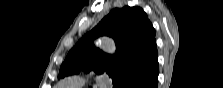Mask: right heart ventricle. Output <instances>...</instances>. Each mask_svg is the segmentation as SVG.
Listing matches in <instances>:
<instances>
[{"label":"right heart ventricle","mask_w":223,"mask_h":88,"mask_svg":"<svg viewBox=\"0 0 223 88\" xmlns=\"http://www.w3.org/2000/svg\"><path fill=\"white\" fill-rule=\"evenodd\" d=\"M54 88H63V87H61L60 85H57L56 87H54Z\"/></svg>","instance_id":"e07e8e85"}]
</instances>
